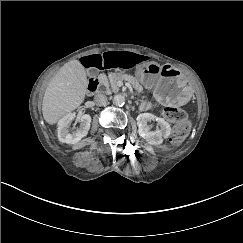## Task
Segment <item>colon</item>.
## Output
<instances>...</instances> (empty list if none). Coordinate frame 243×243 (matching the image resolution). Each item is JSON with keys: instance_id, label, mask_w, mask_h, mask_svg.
Here are the masks:
<instances>
[{"instance_id": "5ec220e1", "label": "colon", "mask_w": 243, "mask_h": 243, "mask_svg": "<svg viewBox=\"0 0 243 243\" xmlns=\"http://www.w3.org/2000/svg\"><path fill=\"white\" fill-rule=\"evenodd\" d=\"M164 115L168 121L175 124L171 134V141L175 144L182 142L189 131L185 112L180 108L167 107L164 110Z\"/></svg>"}]
</instances>
